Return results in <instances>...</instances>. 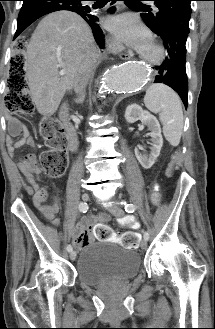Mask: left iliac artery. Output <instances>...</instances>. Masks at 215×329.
I'll list each match as a JSON object with an SVG mask.
<instances>
[{"label": "left iliac artery", "mask_w": 215, "mask_h": 329, "mask_svg": "<svg viewBox=\"0 0 215 329\" xmlns=\"http://www.w3.org/2000/svg\"><path fill=\"white\" fill-rule=\"evenodd\" d=\"M136 207L133 204H126L125 205V211L127 213H133L135 211ZM144 239L148 240L149 239V233L145 232L144 233Z\"/></svg>", "instance_id": "left-iliac-artery-1"}]
</instances>
